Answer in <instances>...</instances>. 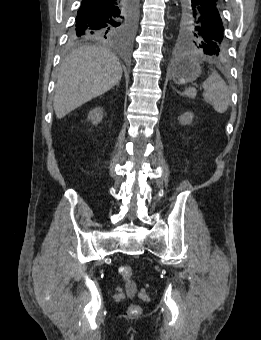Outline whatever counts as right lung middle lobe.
Wrapping results in <instances>:
<instances>
[{"instance_id":"dd1d6c3e","label":"right lung middle lobe","mask_w":261,"mask_h":340,"mask_svg":"<svg viewBox=\"0 0 261 340\" xmlns=\"http://www.w3.org/2000/svg\"><path fill=\"white\" fill-rule=\"evenodd\" d=\"M138 14L137 0H127L116 16L103 17L82 29L72 28L69 44L85 41H127L134 32Z\"/></svg>"}]
</instances>
